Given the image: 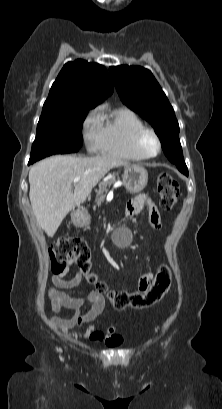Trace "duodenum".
Wrapping results in <instances>:
<instances>
[{
	"instance_id": "duodenum-1",
	"label": "duodenum",
	"mask_w": 222,
	"mask_h": 409,
	"mask_svg": "<svg viewBox=\"0 0 222 409\" xmlns=\"http://www.w3.org/2000/svg\"><path fill=\"white\" fill-rule=\"evenodd\" d=\"M76 210V216H78L80 214V210L78 208Z\"/></svg>"
}]
</instances>
